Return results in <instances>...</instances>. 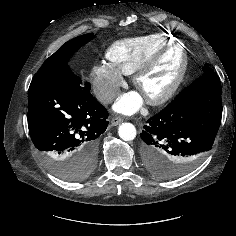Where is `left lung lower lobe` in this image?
<instances>
[{"label": "left lung lower lobe", "instance_id": "obj_1", "mask_svg": "<svg viewBox=\"0 0 236 236\" xmlns=\"http://www.w3.org/2000/svg\"><path fill=\"white\" fill-rule=\"evenodd\" d=\"M221 82L213 71L185 88L140 133L148 171L172 178L196 166L211 149L222 118Z\"/></svg>", "mask_w": 236, "mask_h": 236}]
</instances>
